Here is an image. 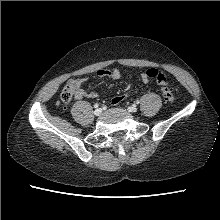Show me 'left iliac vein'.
Returning <instances> with one entry per match:
<instances>
[{
    "label": "left iliac vein",
    "instance_id": "1",
    "mask_svg": "<svg viewBox=\"0 0 220 220\" xmlns=\"http://www.w3.org/2000/svg\"><path fill=\"white\" fill-rule=\"evenodd\" d=\"M128 111L134 113L137 111V107L135 105H131L128 107Z\"/></svg>",
    "mask_w": 220,
    "mask_h": 220
}]
</instances>
